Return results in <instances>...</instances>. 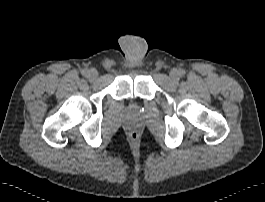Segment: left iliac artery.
Returning a JSON list of instances; mask_svg holds the SVG:
<instances>
[{
  "label": "left iliac artery",
  "mask_w": 265,
  "mask_h": 202,
  "mask_svg": "<svg viewBox=\"0 0 265 202\" xmlns=\"http://www.w3.org/2000/svg\"><path fill=\"white\" fill-rule=\"evenodd\" d=\"M178 74H179L180 76H183V75L185 74V71H184V70H179V71H178Z\"/></svg>",
  "instance_id": "left-iliac-artery-1"
}]
</instances>
